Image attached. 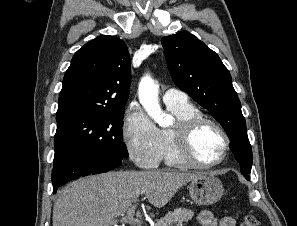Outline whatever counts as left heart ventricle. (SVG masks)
<instances>
[{
    "instance_id": "left-heart-ventricle-1",
    "label": "left heart ventricle",
    "mask_w": 297,
    "mask_h": 226,
    "mask_svg": "<svg viewBox=\"0 0 297 226\" xmlns=\"http://www.w3.org/2000/svg\"><path fill=\"white\" fill-rule=\"evenodd\" d=\"M224 139L212 125L199 127L192 138V152L203 163L215 161L221 155Z\"/></svg>"
}]
</instances>
